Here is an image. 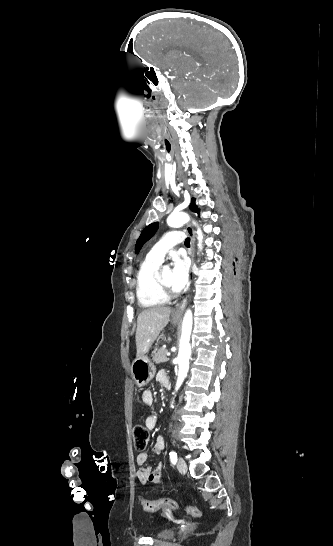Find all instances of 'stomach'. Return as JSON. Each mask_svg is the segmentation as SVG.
<instances>
[{
    "instance_id": "1",
    "label": "stomach",
    "mask_w": 333,
    "mask_h": 546,
    "mask_svg": "<svg viewBox=\"0 0 333 546\" xmlns=\"http://www.w3.org/2000/svg\"><path fill=\"white\" fill-rule=\"evenodd\" d=\"M174 324L178 321L173 319ZM161 338L164 337L162 334ZM155 366L147 356L137 357L131 365L132 378L137 386L147 385L155 375Z\"/></svg>"
}]
</instances>
